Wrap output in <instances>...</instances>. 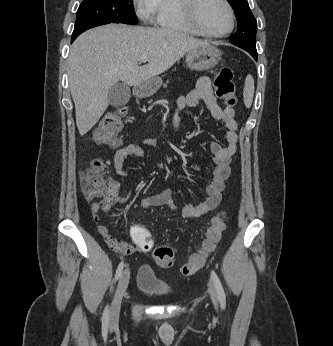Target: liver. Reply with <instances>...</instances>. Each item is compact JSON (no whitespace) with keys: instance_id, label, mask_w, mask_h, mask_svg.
<instances>
[{"instance_id":"6515ba94","label":"liver","mask_w":333,"mask_h":346,"mask_svg":"<svg viewBox=\"0 0 333 346\" xmlns=\"http://www.w3.org/2000/svg\"><path fill=\"white\" fill-rule=\"evenodd\" d=\"M206 45L207 41L174 30L122 24L81 34L68 57L69 89L80 135L107 110L108 91L118 81L136 87L167 71L189 51ZM143 57L148 64L140 66Z\"/></svg>"}]
</instances>
